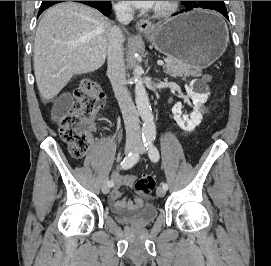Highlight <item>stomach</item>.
<instances>
[{
	"label": "stomach",
	"mask_w": 271,
	"mask_h": 266,
	"mask_svg": "<svg viewBox=\"0 0 271 266\" xmlns=\"http://www.w3.org/2000/svg\"><path fill=\"white\" fill-rule=\"evenodd\" d=\"M145 36L159 52L189 64L191 70L213 64L229 41L228 28L220 16L204 10L178 15Z\"/></svg>",
	"instance_id": "0dacf381"
}]
</instances>
